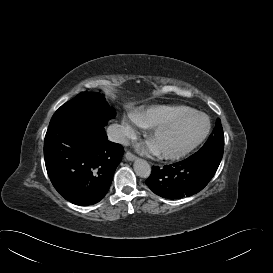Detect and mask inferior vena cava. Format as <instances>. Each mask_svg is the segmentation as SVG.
Segmentation results:
<instances>
[{"instance_id":"inferior-vena-cava-1","label":"inferior vena cava","mask_w":273,"mask_h":273,"mask_svg":"<svg viewBox=\"0 0 273 273\" xmlns=\"http://www.w3.org/2000/svg\"><path fill=\"white\" fill-rule=\"evenodd\" d=\"M107 135L110 141L116 143L126 145L129 142L126 131L118 124L110 125L107 129Z\"/></svg>"}]
</instances>
